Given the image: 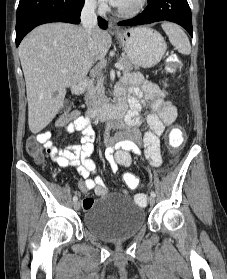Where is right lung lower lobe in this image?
Returning <instances> with one entry per match:
<instances>
[{
	"instance_id": "1",
	"label": "right lung lower lobe",
	"mask_w": 227,
	"mask_h": 279,
	"mask_svg": "<svg viewBox=\"0 0 227 279\" xmlns=\"http://www.w3.org/2000/svg\"><path fill=\"white\" fill-rule=\"evenodd\" d=\"M84 0H20L16 19V46L33 28L49 22L80 23ZM100 28L108 23L98 18Z\"/></svg>"
}]
</instances>
